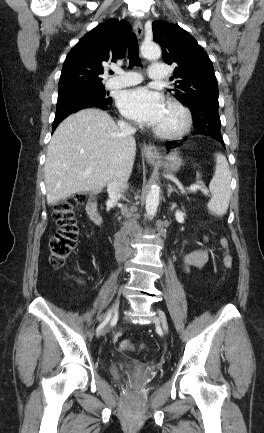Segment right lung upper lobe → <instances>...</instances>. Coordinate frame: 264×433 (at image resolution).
Returning a JSON list of instances; mask_svg holds the SVG:
<instances>
[{
    "instance_id": "right-lung-upper-lobe-1",
    "label": "right lung upper lobe",
    "mask_w": 264,
    "mask_h": 433,
    "mask_svg": "<svg viewBox=\"0 0 264 433\" xmlns=\"http://www.w3.org/2000/svg\"><path fill=\"white\" fill-rule=\"evenodd\" d=\"M130 30L126 20L109 19L82 37L63 64L59 91L101 84L106 63L124 56Z\"/></svg>"
}]
</instances>
